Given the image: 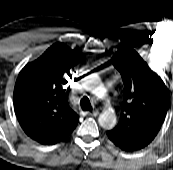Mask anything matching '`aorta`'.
I'll return each mask as SVG.
<instances>
[{
  "mask_svg": "<svg viewBox=\"0 0 173 170\" xmlns=\"http://www.w3.org/2000/svg\"><path fill=\"white\" fill-rule=\"evenodd\" d=\"M86 88L95 91L98 95L101 93V79L97 74L89 75L84 80ZM98 123L104 129H112L116 125V115L112 109L103 111L98 118Z\"/></svg>",
  "mask_w": 173,
  "mask_h": 170,
  "instance_id": "1",
  "label": "aorta"
}]
</instances>
